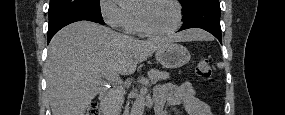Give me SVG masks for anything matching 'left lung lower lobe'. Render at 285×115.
Instances as JSON below:
<instances>
[{"mask_svg": "<svg viewBox=\"0 0 285 115\" xmlns=\"http://www.w3.org/2000/svg\"><path fill=\"white\" fill-rule=\"evenodd\" d=\"M220 12L218 0H202L183 13L184 24L179 31L202 28L213 34L222 43Z\"/></svg>", "mask_w": 285, "mask_h": 115, "instance_id": "0a47b994", "label": "left lung lower lobe"}]
</instances>
